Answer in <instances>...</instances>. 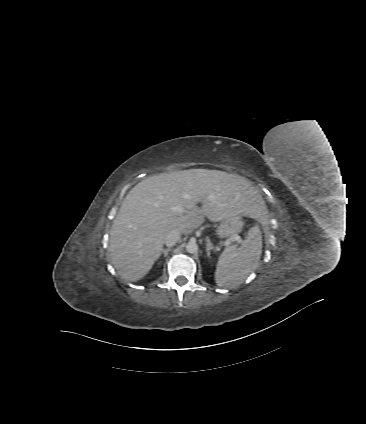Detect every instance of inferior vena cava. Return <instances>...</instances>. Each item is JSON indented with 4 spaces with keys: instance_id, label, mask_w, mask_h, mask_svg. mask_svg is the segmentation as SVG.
<instances>
[{
    "instance_id": "602c4592",
    "label": "inferior vena cava",
    "mask_w": 366,
    "mask_h": 424,
    "mask_svg": "<svg viewBox=\"0 0 366 424\" xmlns=\"http://www.w3.org/2000/svg\"><path fill=\"white\" fill-rule=\"evenodd\" d=\"M180 237L181 233L178 230H172L164 238V243L166 246L172 247L180 240Z\"/></svg>"
}]
</instances>
